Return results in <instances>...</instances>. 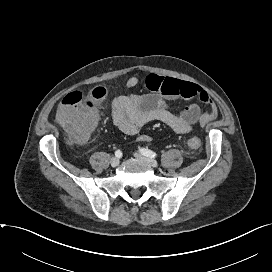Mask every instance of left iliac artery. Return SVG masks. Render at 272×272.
<instances>
[{"mask_svg": "<svg viewBox=\"0 0 272 272\" xmlns=\"http://www.w3.org/2000/svg\"><path fill=\"white\" fill-rule=\"evenodd\" d=\"M140 152L145 155V156H148V157H151V158H155L157 156V154L155 152H153L152 150L150 149H147V148H141L140 149Z\"/></svg>", "mask_w": 272, "mask_h": 272, "instance_id": "1", "label": "left iliac artery"}]
</instances>
